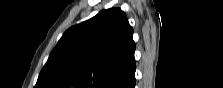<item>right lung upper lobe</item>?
I'll return each instance as SVG.
<instances>
[{
    "instance_id": "obj_1",
    "label": "right lung upper lobe",
    "mask_w": 223,
    "mask_h": 88,
    "mask_svg": "<svg viewBox=\"0 0 223 88\" xmlns=\"http://www.w3.org/2000/svg\"><path fill=\"white\" fill-rule=\"evenodd\" d=\"M133 29L119 8L67 30L35 88H129L135 78Z\"/></svg>"
}]
</instances>
